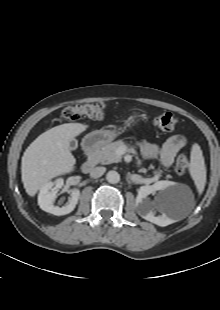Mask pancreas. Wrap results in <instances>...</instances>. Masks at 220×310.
Listing matches in <instances>:
<instances>
[{
  "instance_id": "1",
  "label": "pancreas",
  "mask_w": 220,
  "mask_h": 310,
  "mask_svg": "<svg viewBox=\"0 0 220 310\" xmlns=\"http://www.w3.org/2000/svg\"><path fill=\"white\" fill-rule=\"evenodd\" d=\"M121 147H127V145L122 140L105 145L95 154L97 161L101 164L120 162L121 156L117 153V150ZM161 172V170L154 171V173L158 176L161 175Z\"/></svg>"
}]
</instances>
